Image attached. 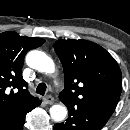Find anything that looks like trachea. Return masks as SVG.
Returning <instances> with one entry per match:
<instances>
[{"label": "trachea", "mask_w": 130, "mask_h": 130, "mask_svg": "<svg viewBox=\"0 0 130 130\" xmlns=\"http://www.w3.org/2000/svg\"><path fill=\"white\" fill-rule=\"evenodd\" d=\"M47 86L45 83H39L36 88V93L40 95H44L46 92Z\"/></svg>", "instance_id": "3493384b"}]
</instances>
